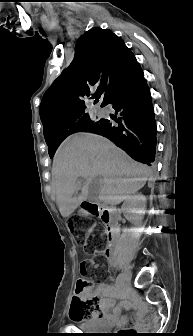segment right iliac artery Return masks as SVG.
<instances>
[{"mask_svg":"<svg viewBox=\"0 0 193 336\" xmlns=\"http://www.w3.org/2000/svg\"><path fill=\"white\" fill-rule=\"evenodd\" d=\"M121 281H122V274H119V275L117 276V278H116L115 285H116V286H120V285H121ZM114 296H115V297H118V296H119V294L117 293V290H116V289L114 290Z\"/></svg>","mask_w":193,"mask_h":336,"instance_id":"82829eb1","label":"right iliac artery"}]
</instances>
